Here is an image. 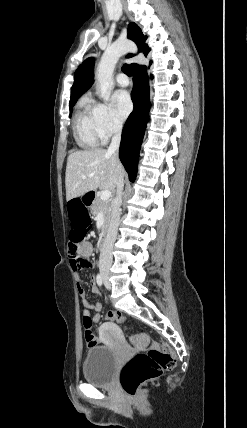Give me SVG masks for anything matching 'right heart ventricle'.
<instances>
[{"label": "right heart ventricle", "instance_id": "1", "mask_svg": "<svg viewBox=\"0 0 247 428\" xmlns=\"http://www.w3.org/2000/svg\"><path fill=\"white\" fill-rule=\"evenodd\" d=\"M74 136L77 144L86 149L95 148L99 144L96 130L93 106L83 101L74 117Z\"/></svg>", "mask_w": 247, "mask_h": 428}]
</instances>
